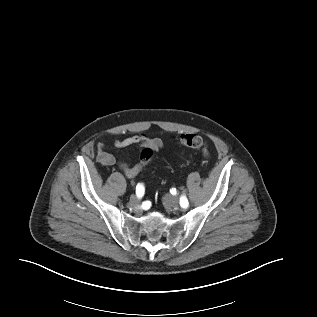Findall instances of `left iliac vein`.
<instances>
[{"label": "left iliac vein", "instance_id": "obj_1", "mask_svg": "<svg viewBox=\"0 0 317 317\" xmlns=\"http://www.w3.org/2000/svg\"><path fill=\"white\" fill-rule=\"evenodd\" d=\"M164 204L169 208H177L179 206V199L176 196L166 194L163 198Z\"/></svg>", "mask_w": 317, "mask_h": 317}]
</instances>
